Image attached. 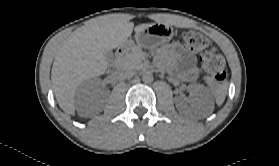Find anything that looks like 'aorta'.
Wrapping results in <instances>:
<instances>
[{
    "instance_id": "aorta-1",
    "label": "aorta",
    "mask_w": 279,
    "mask_h": 166,
    "mask_svg": "<svg viewBox=\"0 0 279 166\" xmlns=\"http://www.w3.org/2000/svg\"><path fill=\"white\" fill-rule=\"evenodd\" d=\"M142 80L145 83H151L153 81V74L149 71H146L142 74Z\"/></svg>"
}]
</instances>
